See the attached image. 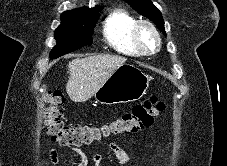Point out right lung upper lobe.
<instances>
[{"label":"right lung upper lobe","instance_id":"cb5924a9","mask_svg":"<svg viewBox=\"0 0 227 166\" xmlns=\"http://www.w3.org/2000/svg\"><path fill=\"white\" fill-rule=\"evenodd\" d=\"M96 7H99V6H96ZM96 7H95V8H96ZM91 9H94V8H91ZM86 10H90V8L83 7V8L74 9V10H71V11H66V12H64L63 14L80 13V12H83V11H86Z\"/></svg>","mask_w":227,"mask_h":166}]
</instances>
